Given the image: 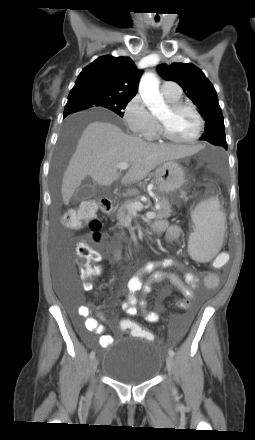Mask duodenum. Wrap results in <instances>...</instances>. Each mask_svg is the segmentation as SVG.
<instances>
[{"label":"duodenum","mask_w":255,"mask_h":440,"mask_svg":"<svg viewBox=\"0 0 255 440\" xmlns=\"http://www.w3.org/2000/svg\"><path fill=\"white\" fill-rule=\"evenodd\" d=\"M101 210L106 213V214H111L114 210V203L111 200H102L101 201ZM156 230H158L157 228H155Z\"/></svg>","instance_id":"obj_1"}]
</instances>
